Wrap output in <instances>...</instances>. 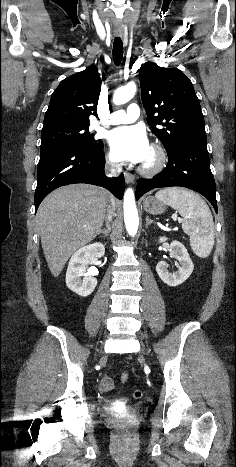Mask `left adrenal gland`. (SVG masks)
Segmentation results:
<instances>
[{"instance_id":"1","label":"left adrenal gland","mask_w":236,"mask_h":467,"mask_svg":"<svg viewBox=\"0 0 236 467\" xmlns=\"http://www.w3.org/2000/svg\"><path fill=\"white\" fill-rule=\"evenodd\" d=\"M152 223L155 224V222H154L153 220H151V219L149 218V216H147V217H146V225H145V227L148 228L149 225L152 224Z\"/></svg>"}]
</instances>
